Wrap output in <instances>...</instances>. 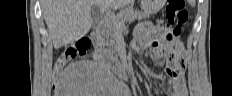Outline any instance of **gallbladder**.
<instances>
[{"mask_svg": "<svg viewBox=\"0 0 232 96\" xmlns=\"http://www.w3.org/2000/svg\"><path fill=\"white\" fill-rule=\"evenodd\" d=\"M92 27L96 29L99 26L101 19L100 8L97 5H93L91 8Z\"/></svg>", "mask_w": 232, "mask_h": 96, "instance_id": "gallbladder-1", "label": "gallbladder"}]
</instances>
